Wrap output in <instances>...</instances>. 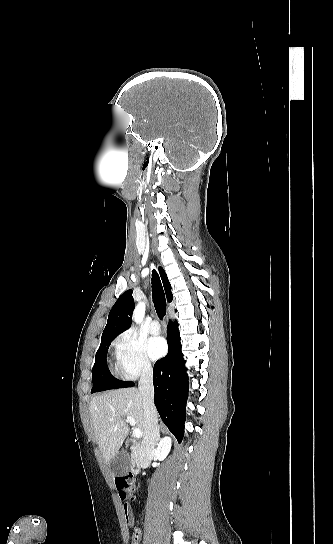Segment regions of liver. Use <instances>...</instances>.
<instances>
[{
    "label": "liver",
    "instance_id": "liver-1",
    "mask_svg": "<svg viewBox=\"0 0 333 544\" xmlns=\"http://www.w3.org/2000/svg\"><path fill=\"white\" fill-rule=\"evenodd\" d=\"M92 428L104 460L110 464L129 434L126 416L135 419L145 433L143 400L137 388L107 391L95 396L89 406Z\"/></svg>",
    "mask_w": 333,
    "mask_h": 544
}]
</instances>
